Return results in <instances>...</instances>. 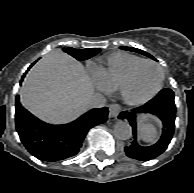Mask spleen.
Returning <instances> with one entry per match:
<instances>
[{"instance_id": "1", "label": "spleen", "mask_w": 194, "mask_h": 193, "mask_svg": "<svg viewBox=\"0 0 194 193\" xmlns=\"http://www.w3.org/2000/svg\"><path fill=\"white\" fill-rule=\"evenodd\" d=\"M139 137L147 143H154L157 141L159 133L151 119H144L139 123Z\"/></svg>"}]
</instances>
